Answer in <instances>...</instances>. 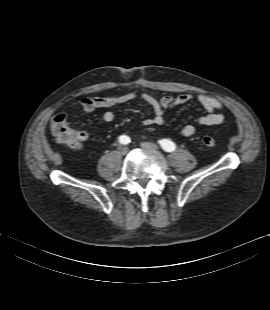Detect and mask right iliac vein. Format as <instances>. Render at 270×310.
<instances>
[{"instance_id": "1", "label": "right iliac vein", "mask_w": 270, "mask_h": 310, "mask_svg": "<svg viewBox=\"0 0 270 310\" xmlns=\"http://www.w3.org/2000/svg\"><path fill=\"white\" fill-rule=\"evenodd\" d=\"M119 152L122 154V155H126L128 153V148L126 146H121L119 148Z\"/></svg>"}]
</instances>
